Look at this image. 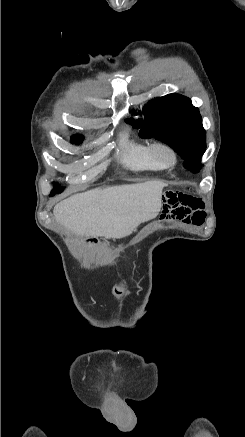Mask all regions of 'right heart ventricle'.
Masks as SVG:
<instances>
[{
  "label": "right heart ventricle",
  "instance_id": "right-heart-ventricle-1",
  "mask_svg": "<svg viewBox=\"0 0 245 437\" xmlns=\"http://www.w3.org/2000/svg\"><path fill=\"white\" fill-rule=\"evenodd\" d=\"M121 164L133 171H160L165 165L156 159L150 149V144L143 142L123 131L119 137Z\"/></svg>",
  "mask_w": 245,
  "mask_h": 437
}]
</instances>
